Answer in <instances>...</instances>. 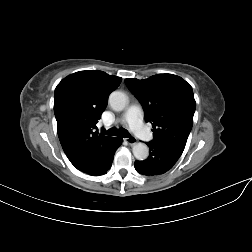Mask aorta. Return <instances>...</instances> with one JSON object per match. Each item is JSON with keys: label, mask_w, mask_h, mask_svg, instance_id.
Segmentation results:
<instances>
[{"label": "aorta", "mask_w": 252, "mask_h": 252, "mask_svg": "<svg viewBox=\"0 0 252 252\" xmlns=\"http://www.w3.org/2000/svg\"><path fill=\"white\" fill-rule=\"evenodd\" d=\"M127 96L120 91H114L109 96V104L115 111H122L127 105ZM132 152L136 159L145 160L149 155V148L145 143H136Z\"/></svg>", "instance_id": "obj_1"}]
</instances>
